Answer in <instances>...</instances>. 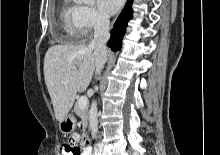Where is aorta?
Here are the masks:
<instances>
[{
	"mask_svg": "<svg viewBox=\"0 0 220 155\" xmlns=\"http://www.w3.org/2000/svg\"><path fill=\"white\" fill-rule=\"evenodd\" d=\"M85 4H93L94 0H80ZM89 127L92 132H96L98 129V119H97V102L93 101L89 111Z\"/></svg>",
	"mask_w": 220,
	"mask_h": 155,
	"instance_id": "obj_1",
	"label": "aorta"
}]
</instances>
